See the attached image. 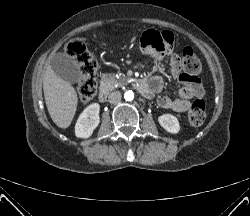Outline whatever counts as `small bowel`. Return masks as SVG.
<instances>
[{"label":"small bowel","instance_id":"1","mask_svg":"<svg viewBox=\"0 0 250 216\" xmlns=\"http://www.w3.org/2000/svg\"><path fill=\"white\" fill-rule=\"evenodd\" d=\"M174 44V37L171 32L147 31L142 35L141 47L143 51L156 58L161 59L166 52L171 51ZM170 72L174 79L178 80L182 86L177 92L175 98L166 95H159L158 105L167 110L175 112H185L192 104L193 98H202L204 90L198 77L186 76L180 67L178 58H173L170 63ZM148 85L153 94H161L164 87L162 77L154 76L148 81Z\"/></svg>","mask_w":250,"mask_h":216}]
</instances>
